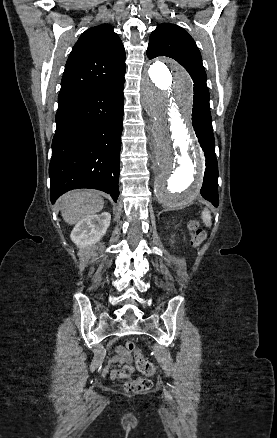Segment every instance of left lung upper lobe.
I'll list each match as a JSON object with an SVG mask.
<instances>
[{"label":"left lung upper lobe","instance_id":"obj_1","mask_svg":"<svg viewBox=\"0 0 277 438\" xmlns=\"http://www.w3.org/2000/svg\"><path fill=\"white\" fill-rule=\"evenodd\" d=\"M147 56L149 59L168 56L181 64L194 82L193 109L210 112L201 54L192 37L183 28L170 23L160 24L150 35Z\"/></svg>","mask_w":277,"mask_h":438}]
</instances>
